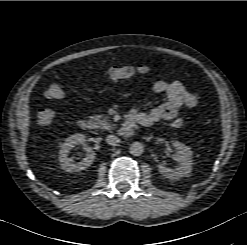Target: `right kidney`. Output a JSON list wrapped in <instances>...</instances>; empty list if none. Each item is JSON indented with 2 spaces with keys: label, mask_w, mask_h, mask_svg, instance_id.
I'll return each mask as SVG.
<instances>
[{
  "label": "right kidney",
  "mask_w": 247,
  "mask_h": 245,
  "mask_svg": "<svg viewBox=\"0 0 247 245\" xmlns=\"http://www.w3.org/2000/svg\"><path fill=\"white\" fill-rule=\"evenodd\" d=\"M85 141V136L80 133L74 134L65 140L59 152V162L63 170L67 172H77L85 170L93 163L95 159V152L90 146H84L86 154L85 158H83L81 162L73 163V160L68 157L71 149L77 145H84Z\"/></svg>",
  "instance_id": "obj_1"
}]
</instances>
